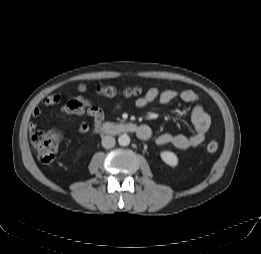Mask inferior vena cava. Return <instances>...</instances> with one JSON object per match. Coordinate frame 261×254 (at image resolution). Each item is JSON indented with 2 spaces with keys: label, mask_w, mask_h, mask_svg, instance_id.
Here are the masks:
<instances>
[{
  "label": "inferior vena cava",
  "mask_w": 261,
  "mask_h": 254,
  "mask_svg": "<svg viewBox=\"0 0 261 254\" xmlns=\"http://www.w3.org/2000/svg\"><path fill=\"white\" fill-rule=\"evenodd\" d=\"M115 138L112 136H104L102 138V146L106 149L112 148L115 146Z\"/></svg>",
  "instance_id": "602c4592"
}]
</instances>
